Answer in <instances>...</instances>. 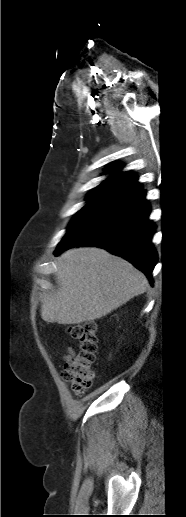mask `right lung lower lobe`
I'll return each mask as SVG.
<instances>
[{
    "instance_id": "1",
    "label": "right lung lower lobe",
    "mask_w": 186,
    "mask_h": 517,
    "mask_svg": "<svg viewBox=\"0 0 186 517\" xmlns=\"http://www.w3.org/2000/svg\"><path fill=\"white\" fill-rule=\"evenodd\" d=\"M141 190L111 206L99 217L61 242L55 251L75 246H96L121 256L152 281L157 253L151 242L155 225L148 219L150 206Z\"/></svg>"
}]
</instances>
